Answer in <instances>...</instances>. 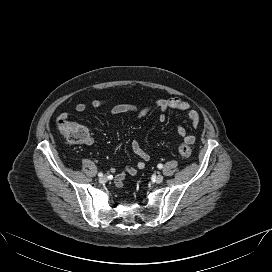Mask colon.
Masks as SVG:
<instances>
[{
  "label": "colon",
  "mask_w": 272,
  "mask_h": 272,
  "mask_svg": "<svg viewBox=\"0 0 272 272\" xmlns=\"http://www.w3.org/2000/svg\"><path fill=\"white\" fill-rule=\"evenodd\" d=\"M57 128L60 134L70 142L86 143L90 139V134L84 126L71 122L68 119L60 118L57 121ZM190 144L188 138L179 145L178 150L183 158H189L191 156L192 150Z\"/></svg>",
  "instance_id": "1"
}]
</instances>
